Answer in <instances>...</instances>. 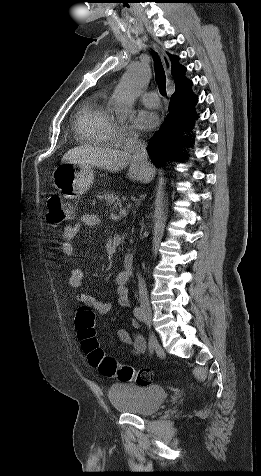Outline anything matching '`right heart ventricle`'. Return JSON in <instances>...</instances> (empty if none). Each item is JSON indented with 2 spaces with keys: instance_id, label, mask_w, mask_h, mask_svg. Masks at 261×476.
<instances>
[{
  "instance_id": "right-heart-ventricle-1",
  "label": "right heart ventricle",
  "mask_w": 261,
  "mask_h": 476,
  "mask_svg": "<svg viewBox=\"0 0 261 476\" xmlns=\"http://www.w3.org/2000/svg\"><path fill=\"white\" fill-rule=\"evenodd\" d=\"M115 126L106 106L104 94L91 95L84 101L76 121L77 132L84 143L94 145L112 144Z\"/></svg>"
}]
</instances>
